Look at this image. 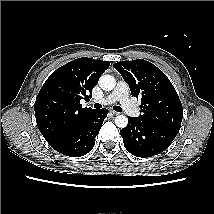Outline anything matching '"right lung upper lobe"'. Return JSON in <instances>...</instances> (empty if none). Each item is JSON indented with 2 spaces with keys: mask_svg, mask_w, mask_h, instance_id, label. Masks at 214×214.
Returning <instances> with one entry per match:
<instances>
[{
  "mask_svg": "<svg viewBox=\"0 0 214 214\" xmlns=\"http://www.w3.org/2000/svg\"><path fill=\"white\" fill-rule=\"evenodd\" d=\"M109 66L108 61L82 57L49 76L34 104L37 126L49 144L95 111L82 108L80 100L91 96L92 88Z\"/></svg>",
  "mask_w": 214,
  "mask_h": 214,
  "instance_id": "right-lung-upper-lobe-1",
  "label": "right lung upper lobe"
}]
</instances>
